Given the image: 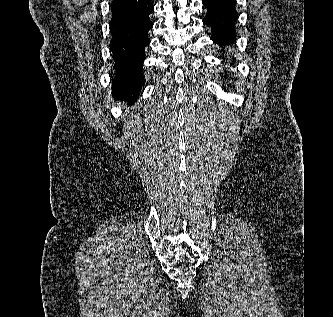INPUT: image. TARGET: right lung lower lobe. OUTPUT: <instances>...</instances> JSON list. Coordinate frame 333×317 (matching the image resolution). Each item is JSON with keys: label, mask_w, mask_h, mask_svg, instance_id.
I'll use <instances>...</instances> for the list:
<instances>
[{"label": "right lung lower lobe", "mask_w": 333, "mask_h": 317, "mask_svg": "<svg viewBox=\"0 0 333 317\" xmlns=\"http://www.w3.org/2000/svg\"><path fill=\"white\" fill-rule=\"evenodd\" d=\"M110 9V50L116 70L112 94L132 104L144 84L141 65L144 49L150 44L148 31L153 22L149 15L154 5L151 0H113Z\"/></svg>", "instance_id": "1"}]
</instances>
